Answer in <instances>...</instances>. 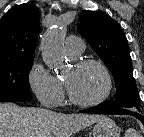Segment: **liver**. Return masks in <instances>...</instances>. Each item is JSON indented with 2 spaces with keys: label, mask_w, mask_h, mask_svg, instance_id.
Masks as SVG:
<instances>
[{
  "label": "liver",
  "mask_w": 144,
  "mask_h": 137,
  "mask_svg": "<svg viewBox=\"0 0 144 137\" xmlns=\"http://www.w3.org/2000/svg\"><path fill=\"white\" fill-rule=\"evenodd\" d=\"M95 114H64L34 107L0 103V137H71L96 123Z\"/></svg>",
  "instance_id": "6515ba94"
}]
</instances>
